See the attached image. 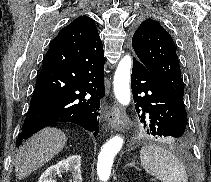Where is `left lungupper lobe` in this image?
Here are the masks:
<instances>
[{
	"instance_id": "5c2ea615",
	"label": "left lung upper lobe",
	"mask_w": 211,
	"mask_h": 182,
	"mask_svg": "<svg viewBox=\"0 0 211 182\" xmlns=\"http://www.w3.org/2000/svg\"><path fill=\"white\" fill-rule=\"evenodd\" d=\"M136 58L166 89L183 100L184 87L175 43L156 21L141 23L132 38Z\"/></svg>"
}]
</instances>
